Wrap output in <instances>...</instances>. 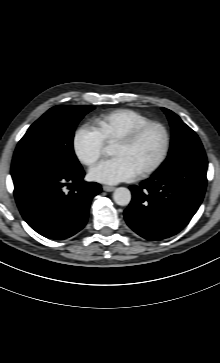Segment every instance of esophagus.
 <instances>
[{"mask_svg": "<svg viewBox=\"0 0 220 363\" xmlns=\"http://www.w3.org/2000/svg\"><path fill=\"white\" fill-rule=\"evenodd\" d=\"M103 190L106 192H112L115 190V187L105 185V186H103Z\"/></svg>", "mask_w": 220, "mask_h": 363, "instance_id": "34e87169", "label": "esophagus"}]
</instances>
